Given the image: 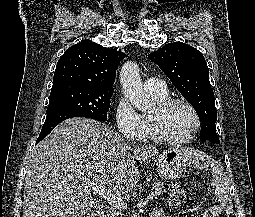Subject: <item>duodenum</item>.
Instances as JSON below:
<instances>
[{"label": "duodenum", "mask_w": 255, "mask_h": 217, "mask_svg": "<svg viewBox=\"0 0 255 217\" xmlns=\"http://www.w3.org/2000/svg\"><path fill=\"white\" fill-rule=\"evenodd\" d=\"M91 217H105L104 210H98L91 214Z\"/></svg>", "instance_id": "1"}]
</instances>
